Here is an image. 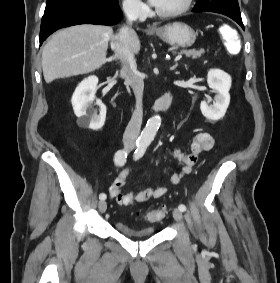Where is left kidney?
<instances>
[{
    "instance_id": "obj_1",
    "label": "left kidney",
    "mask_w": 280,
    "mask_h": 283,
    "mask_svg": "<svg viewBox=\"0 0 280 283\" xmlns=\"http://www.w3.org/2000/svg\"><path fill=\"white\" fill-rule=\"evenodd\" d=\"M231 82V76L222 70L210 69L208 71L207 83L216 95L212 105L208 104L209 101L201 102L200 110L204 117L213 121L224 117L230 103Z\"/></svg>"
}]
</instances>
